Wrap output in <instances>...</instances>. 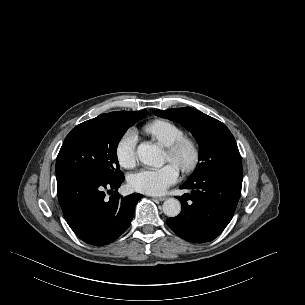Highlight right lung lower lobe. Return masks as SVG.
<instances>
[{
	"mask_svg": "<svg viewBox=\"0 0 305 305\" xmlns=\"http://www.w3.org/2000/svg\"><path fill=\"white\" fill-rule=\"evenodd\" d=\"M123 181L124 175L108 181L80 174L57 176V195L65 220L82 241L103 246L129 227L135 205L143 195L121 197L116 191Z\"/></svg>",
	"mask_w": 305,
	"mask_h": 305,
	"instance_id": "98d812e1",
	"label": "right lung lower lobe"
}]
</instances>
